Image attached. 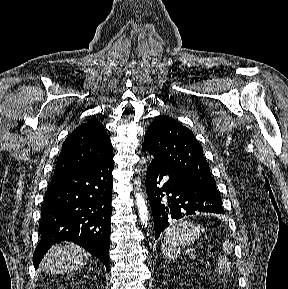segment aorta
<instances>
[{"label":"aorta","instance_id":"obj_1","mask_svg":"<svg viewBox=\"0 0 288 289\" xmlns=\"http://www.w3.org/2000/svg\"><path fill=\"white\" fill-rule=\"evenodd\" d=\"M135 198L139 219L142 222V225L147 226L149 220V211L146 201L140 193H136Z\"/></svg>","mask_w":288,"mask_h":289}]
</instances>
